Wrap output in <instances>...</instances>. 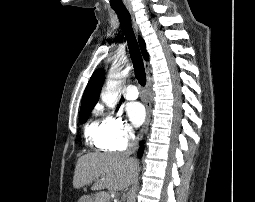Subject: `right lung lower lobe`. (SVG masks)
<instances>
[{
    "mask_svg": "<svg viewBox=\"0 0 255 202\" xmlns=\"http://www.w3.org/2000/svg\"><path fill=\"white\" fill-rule=\"evenodd\" d=\"M141 144H142V143H141ZM142 153H143V147L141 146L140 149H139V151H138L139 157L142 156Z\"/></svg>",
    "mask_w": 255,
    "mask_h": 202,
    "instance_id": "98d812e1",
    "label": "right lung lower lobe"
}]
</instances>
